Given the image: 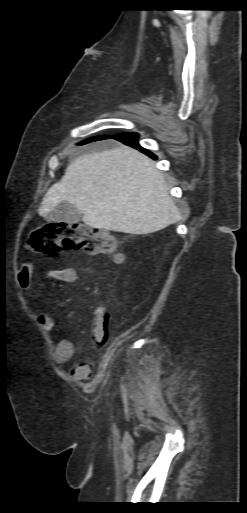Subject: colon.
I'll return each instance as SVG.
<instances>
[{
  "mask_svg": "<svg viewBox=\"0 0 247 513\" xmlns=\"http://www.w3.org/2000/svg\"><path fill=\"white\" fill-rule=\"evenodd\" d=\"M116 239L106 231L80 223L50 222L35 230L29 247L39 252L58 254L67 249H80L88 254H111L116 250ZM91 339L100 346L106 343L110 324L109 305L98 301L94 305Z\"/></svg>",
  "mask_w": 247,
  "mask_h": 513,
  "instance_id": "obj_1",
  "label": "colon"
}]
</instances>
